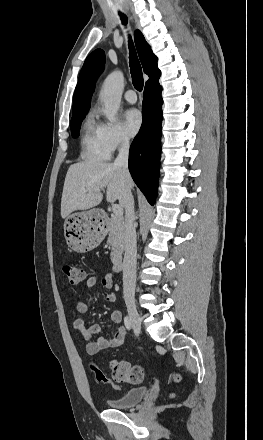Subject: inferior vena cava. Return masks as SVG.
<instances>
[{"instance_id":"inferior-vena-cava-1","label":"inferior vena cava","mask_w":263,"mask_h":440,"mask_svg":"<svg viewBox=\"0 0 263 440\" xmlns=\"http://www.w3.org/2000/svg\"><path fill=\"white\" fill-rule=\"evenodd\" d=\"M128 158L129 139L127 137H123L121 146L119 148V154L116 157L113 165L121 170L122 177L125 182L123 193L120 199V203L125 208L126 222L124 235L125 254L123 260V294L125 300H133L136 286L137 248L136 231L134 226V199L131 193V188L127 184L131 179L128 170Z\"/></svg>"}]
</instances>
